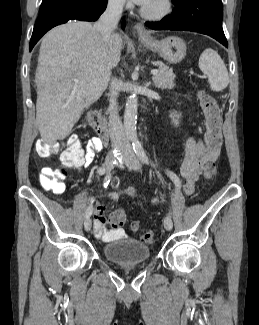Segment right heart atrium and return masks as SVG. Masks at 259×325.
Wrapping results in <instances>:
<instances>
[{"label": "right heart atrium", "instance_id": "right-heart-atrium-1", "mask_svg": "<svg viewBox=\"0 0 259 325\" xmlns=\"http://www.w3.org/2000/svg\"><path fill=\"white\" fill-rule=\"evenodd\" d=\"M125 0H108V4L113 9H120L124 6Z\"/></svg>", "mask_w": 259, "mask_h": 325}]
</instances>
